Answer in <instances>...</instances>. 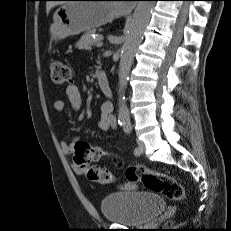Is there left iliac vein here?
<instances>
[{
    "label": "left iliac vein",
    "instance_id": "left-iliac-vein-1",
    "mask_svg": "<svg viewBox=\"0 0 231 231\" xmlns=\"http://www.w3.org/2000/svg\"><path fill=\"white\" fill-rule=\"evenodd\" d=\"M137 144H138V149H139V152L140 154L143 153L145 151V144L143 141L141 140H137Z\"/></svg>",
    "mask_w": 231,
    "mask_h": 231
}]
</instances>
